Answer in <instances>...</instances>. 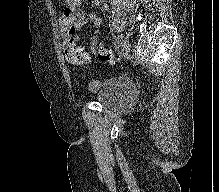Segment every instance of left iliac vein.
<instances>
[{"label":"left iliac vein","mask_w":219,"mask_h":192,"mask_svg":"<svg viewBox=\"0 0 219 192\" xmlns=\"http://www.w3.org/2000/svg\"><path fill=\"white\" fill-rule=\"evenodd\" d=\"M131 49V44L129 40L125 39L122 43L121 51H120V56L125 57L129 54Z\"/></svg>","instance_id":"1"}]
</instances>
